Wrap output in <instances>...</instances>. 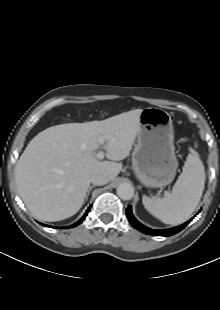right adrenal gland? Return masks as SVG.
Masks as SVG:
<instances>
[{"instance_id":"obj_1","label":"right adrenal gland","mask_w":220,"mask_h":310,"mask_svg":"<svg viewBox=\"0 0 220 310\" xmlns=\"http://www.w3.org/2000/svg\"><path fill=\"white\" fill-rule=\"evenodd\" d=\"M93 188H94V186H90V187L88 188L87 194H86V196H85V201L88 200V196L90 195V192H91V190H92Z\"/></svg>"}]
</instances>
